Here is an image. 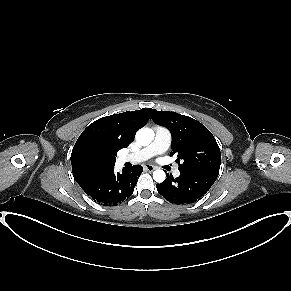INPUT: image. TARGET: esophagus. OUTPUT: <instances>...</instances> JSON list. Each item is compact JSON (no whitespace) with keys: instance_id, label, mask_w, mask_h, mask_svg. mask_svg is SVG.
<instances>
[{"instance_id":"1","label":"esophagus","mask_w":291,"mask_h":291,"mask_svg":"<svg viewBox=\"0 0 291 291\" xmlns=\"http://www.w3.org/2000/svg\"><path fill=\"white\" fill-rule=\"evenodd\" d=\"M144 169L147 170V171L152 172V171H154L155 169H157V167H156V166H153V165H151V164H147V165L144 166Z\"/></svg>"}]
</instances>
